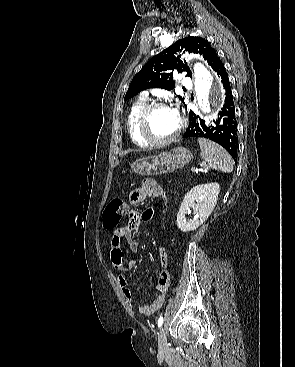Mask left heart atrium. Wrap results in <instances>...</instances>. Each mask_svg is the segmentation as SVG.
Segmentation results:
<instances>
[{"mask_svg":"<svg viewBox=\"0 0 295 367\" xmlns=\"http://www.w3.org/2000/svg\"><path fill=\"white\" fill-rule=\"evenodd\" d=\"M172 111L174 112V114L178 117V110L177 108H172Z\"/></svg>","mask_w":295,"mask_h":367,"instance_id":"39dd6f15","label":"left heart atrium"}]
</instances>
